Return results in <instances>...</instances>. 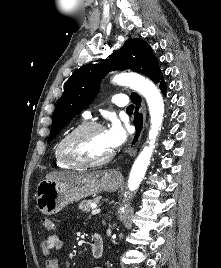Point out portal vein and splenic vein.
<instances>
[{
  "instance_id": "18ae733b",
  "label": "portal vein and splenic vein",
  "mask_w": 221,
  "mask_h": 268,
  "mask_svg": "<svg viewBox=\"0 0 221 268\" xmlns=\"http://www.w3.org/2000/svg\"><path fill=\"white\" fill-rule=\"evenodd\" d=\"M101 212L100 209L96 208V207H93L92 211H91V214L92 215H96V214H99Z\"/></svg>"
}]
</instances>
